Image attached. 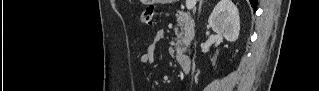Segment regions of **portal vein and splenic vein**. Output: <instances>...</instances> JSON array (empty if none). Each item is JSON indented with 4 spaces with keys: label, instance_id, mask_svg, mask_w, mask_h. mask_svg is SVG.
Returning <instances> with one entry per match:
<instances>
[{
    "label": "portal vein and splenic vein",
    "instance_id": "portal-vein-and-splenic-vein-1",
    "mask_svg": "<svg viewBox=\"0 0 319 91\" xmlns=\"http://www.w3.org/2000/svg\"><path fill=\"white\" fill-rule=\"evenodd\" d=\"M196 5L195 0H186V7L188 10H192Z\"/></svg>",
    "mask_w": 319,
    "mask_h": 91
}]
</instances>
